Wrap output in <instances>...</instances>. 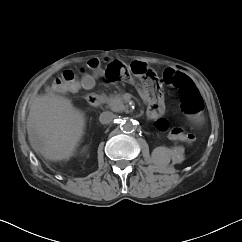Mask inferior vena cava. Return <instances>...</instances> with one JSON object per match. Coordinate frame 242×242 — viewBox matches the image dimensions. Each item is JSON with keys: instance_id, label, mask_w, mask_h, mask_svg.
Wrapping results in <instances>:
<instances>
[{"instance_id": "1", "label": "inferior vena cava", "mask_w": 242, "mask_h": 242, "mask_svg": "<svg viewBox=\"0 0 242 242\" xmlns=\"http://www.w3.org/2000/svg\"><path fill=\"white\" fill-rule=\"evenodd\" d=\"M116 115L110 111H105L100 114L99 121L102 124H109L115 119Z\"/></svg>"}]
</instances>
